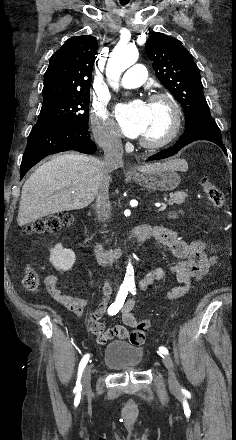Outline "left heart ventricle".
Instances as JSON below:
<instances>
[{"instance_id":"obj_1","label":"left heart ventricle","mask_w":236,"mask_h":440,"mask_svg":"<svg viewBox=\"0 0 236 440\" xmlns=\"http://www.w3.org/2000/svg\"><path fill=\"white\" fill-rule=\"evenodd\" d=\"M171 125V113L164 102L148 104V120L142 138L157 140L166 135Z\"/></svg>"}]
</instances>
